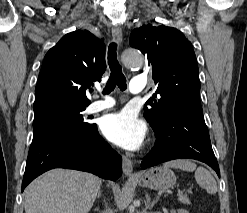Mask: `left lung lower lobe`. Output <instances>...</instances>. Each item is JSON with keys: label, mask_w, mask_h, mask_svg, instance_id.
Masks as SVG:
<instances>
[{"label": "left lung lower lobe", "mask_w": 247, "mask_h": 213, "mask_svg": "<svg viewBox=\"0 0 247 213\" xmlns=\"http://www.w3.org/2000/svg\"><path fill=\"white\" fill-rule=\"evenodd\" d=\"M154 132L157 140L141 163L142 169L174 159H196L208 164L220 177L203 114L177 108Z\"/></svg>", "instance_id": "left-lung-lower-lobe-1"}]
</instances>
